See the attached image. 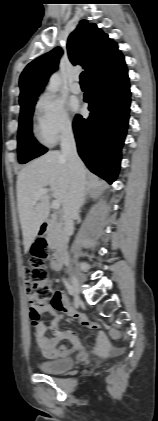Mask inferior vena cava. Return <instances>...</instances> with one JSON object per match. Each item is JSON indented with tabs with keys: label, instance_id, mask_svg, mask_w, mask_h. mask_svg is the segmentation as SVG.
Instances as JSON below:
<instances>
[{
	"label": "inferior vena cava",
	"instance_id": "inferior-vena-cava-1",
	"mask_svg": "<svg viewBox=\"0 0 158 421\" xmlns=\"http://www.w3.org/2000/svg\"><path fill=\"white\" fill-rule=\"evenodd\" d=\"M62 155L67 159L70 171V186L63 200L64 233L74 232V217L83 203L86 193L85 166L78 156L71 126L64 127L61 135Z\"/></svg>",
	"mask_w": 158,
	"mask_h": 421
}]
</instances>
